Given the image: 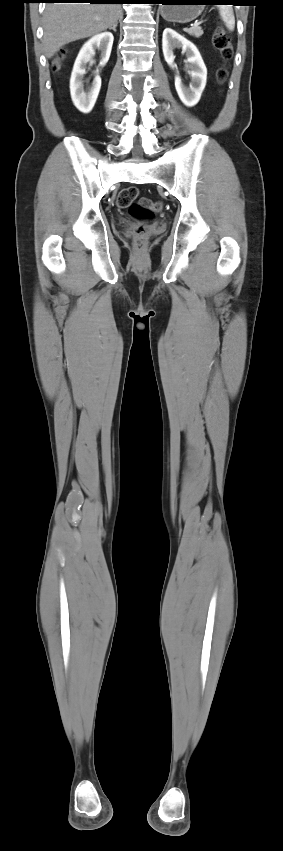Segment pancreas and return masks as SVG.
I'll use <instances>...</instances> for the list:
<instances>
[{
  "label": "pancreas",
  "mask_w": 283,
  "mask_h": 851,
  "mask_svg": "<svg viewBox=\"0 0 283 851\" xmlns=\"http://www.w3.org/2000/svg\"><path fill=\"white\" fill-rule=\"evenodd\" d=\"M189 35L199 38L203 34L201 27H192L185 30Z\"/></svg>",
  "instance_id": "pancreas-1"
}]
</instances>
